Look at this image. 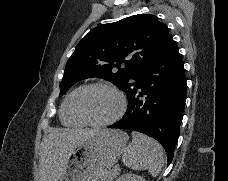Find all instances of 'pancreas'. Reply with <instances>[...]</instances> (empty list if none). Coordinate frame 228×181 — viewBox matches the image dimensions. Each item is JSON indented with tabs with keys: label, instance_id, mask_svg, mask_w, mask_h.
<instances>
[{
	"label": "pancreas",
	"instance_id": "pancreas-1",
	"mask_svg": "<svg viewBox=\"0 0 228 181\" xmlns=\"http://www.w3.org/2000/svg\"><path fill=\"white\" fill-rule=\"evenodd\" d=\"M116 175H117L116 169H112V171H110V173H109L108 181H113V179H115Z\"/></svg>",
	"mask_w": 228,
	"mask_h": 181
}]
</instances>
